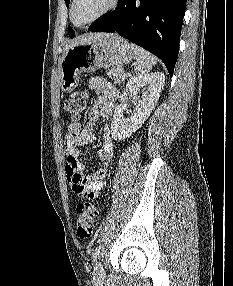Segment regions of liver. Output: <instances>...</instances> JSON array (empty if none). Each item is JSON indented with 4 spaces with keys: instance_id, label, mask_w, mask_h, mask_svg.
<instances>
[{
    "instance_id": "1",
    "label": "liver",
    "mask_w": 233,
    "mask_h": 286,
    "mask_svg": "<svg viewBox=\"0 0 233 286\" xmlns=\"http://www.w3.org/2000/svg\"><path fill=\"white\" fill-rule=\"evenodd\" d=\"M101 35H103V34H100V33L91 34V35H89V36H87V37H84V38H82V39L73 41L69 46H67V47L65 48V50L69 49L70 47L76 46V45H78V44H81V43L90 41V40H92V39H94V38H97V37H99V36H101Z\"/></svg>"
}]
</instances>
